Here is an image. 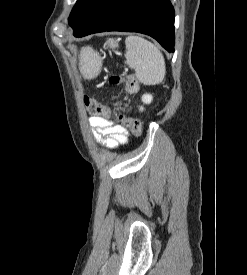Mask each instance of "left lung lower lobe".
I'll list each match as a JSON object with an SVG mask.
<instances>
[{"mask_svg": "<svg viewBox=\"0 0 247 275\" xmlns=\"http://www.w3.org/2000/svg\"><path fill=\"white\" fill-rule=\"evenodd\" d=\"M174 17L169 0H102L73 35L138 32L153 37L168 52H174Z\"/></svg>", "mask_w": 247, "mask_h": 275, "instance_id": "0a47b994", "label": "left lung lower lobe"}]
</instances>
